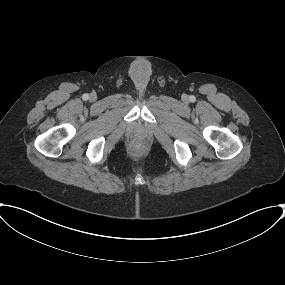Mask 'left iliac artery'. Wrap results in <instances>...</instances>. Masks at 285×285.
<instances>
[{"instance_id":"obj_1","label":"left iliac artery","mask_w":285,"mask_h":285,"mask_svg":"<svg viewBox=\"0 0 285 285\" xmlns=\"http://www.w3.org/2000/svg\"><path fill=\"white\" fill-rule=\"evenodd\" d=\"M189 99H190L191 102H194L196 100L195 96H190Z\"/></svg>"}]
</instances>
